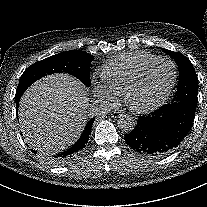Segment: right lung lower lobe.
<instances>
[{
  "instance_id": "obj_1",
  "label": "right lung lower lobe",
  "mask_w": 207,
  "mask_h": 207,
  "mask_svg": "<svg viewBox=\"0 0 207 207\" xmlns=\"http://www.w3.org/2000/svg\"><path fill=\"white\" fill-rule=\"evenodd\" d=\"M20 98H16V113H17V116H18V105H19ZM93 123H94V119L90 120L87 123V125L85 127V130L83 131L81 137L79 138V140L72 147H70L66 151H63L60 154L47 156L46 157L47 161H49L50 163H53V164H63V163L68 162L70 160V158L77 155L84 148L85 143L87 142L88 137L90 135ZM32 152L36 153L35 150H32Z\"/></svg>"
}]
</instances>
